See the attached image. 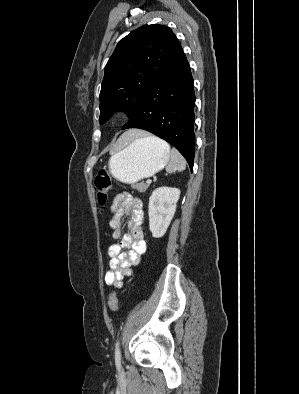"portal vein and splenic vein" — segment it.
I'll list each match as a JSON object with an SVG mask.
<instances>
[{
    "instance_id": "1",
    "label": "portal vein and splenic vein",
    "mask_w": 299,
    "mask_h": 394,
    "mask_svg": "<svg viewBox=\"0 0 299 394\" xmlns=\"http://www.w3.org/2000/svg\"><path fill=\"white\" fill-rule=\"evenodd\" d=\"M147 183L148 184L152 183V180L151 179H147Z\"/></svg>"
}]
</instances>
